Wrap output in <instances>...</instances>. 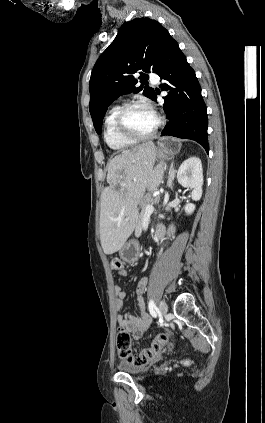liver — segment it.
<instances>
[{
  "label": "liver",
  "instance_id": "liver-1",
  "mask_svg": "<svg viewBox=\"0 0 265 423\" xmlns=\"http://www.w3.org/2000/svg\"><path fill=\"white\" fill-rule=\"evenodd\" d=\"M157 148L152 141L122 151L107 164V183L101 198L100 241L105 254L119 251L132 234L138 204L146 191L160 185L164 168L155 165Z\"/></svg>",
  "mask_w": 265,
  "mask_h": 423
}]
</instances>
